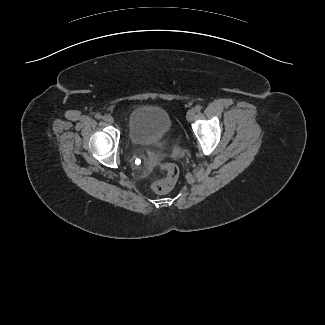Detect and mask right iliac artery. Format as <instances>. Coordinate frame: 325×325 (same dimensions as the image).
Returning a JSON list of instances; mask_svg holds the SVG:
<instances>
[{
	"label": "right iliac artery",
	"instance_id": "82829eb1",
	"mask_svg": "<svg viewBox=\"0 0 325 325\" xmlns=\"http://www.w3.org/2000/svg\"><path fill=\"white\" fill-rule=\"evenodd\" d=\"M95 118H96V119H102V115H101L100 113H97V114L95 115Z\"/></svg>",
	"mask_w": 325,
	"mask_h": 325
}]
</instances>
